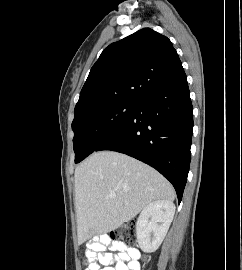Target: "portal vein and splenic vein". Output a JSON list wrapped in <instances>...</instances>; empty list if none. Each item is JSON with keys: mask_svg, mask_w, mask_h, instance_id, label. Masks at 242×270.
<instances>
[{"mask_svg": "<svg viewBox=\"0 0 242 270\" xmlns=\"http://www.w3.org/2000/svg\"><path fill=\"white\" fill-rule=\"evenodd\" d=\"M116 196L113 194V195H111V198H115Z\"/></svg>", "mask_w": 242, "mask_h": 270, "instance_id": "18ae733b", "label": "portal vein and splenic vein"}]
</instances>
